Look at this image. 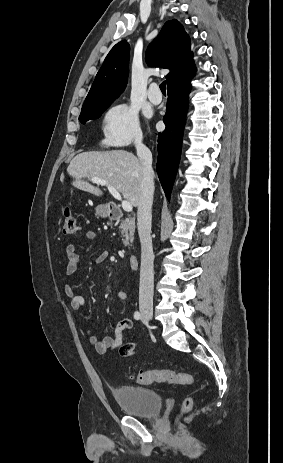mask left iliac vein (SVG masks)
Listing matches in <instances>:
<instances>
[{
	"mask_svg": "<svg viewBox=\"0 0 283 463\" xmlns=\"http://www.w3.org/2000/svg\"><path fill=\"white\" fill-rule=\"evenodd\" d=\"M142 322L146 324L147 320L144 317H142Z\"/></svg>",
	"mask_w": 283,
	"mask_h": 463,
	"instance_id": "1",
	"label": "left iliac vein"
}]
</instances>
